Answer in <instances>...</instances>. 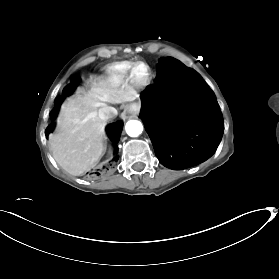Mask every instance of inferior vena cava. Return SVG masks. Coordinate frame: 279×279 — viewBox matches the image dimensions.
I'll return each mask as SVG.
<instances>
[{"instance_id": "obj_1", "label": "inferior vena cava", "mask_w": 279, "mask_h": 279, "mask_svg": "<svg viewBox=\"0 0 279 279\" xmlns=\"http://www.w3.org/2000/svg\"><path fill=\"white\" fill-rule=\"evenodd\" d=\"M115 115H118L117 110L113 109L112 107L106 106L99 110V117L101 120L107 121L110 118H113Z\"/></svg>"}]
</instances>
